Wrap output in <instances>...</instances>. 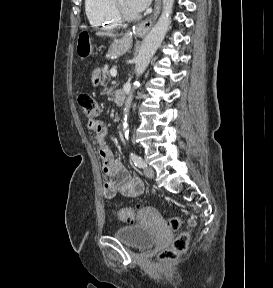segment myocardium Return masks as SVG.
I'll use <instances>...</instances> for the list:
<instances>
[{"instance_id": "1", "label": "myocardium", "mask_w": 273, "mask_h": 288, "mask_svg": "<svg viewBox=\"0 0 273 288\" xmlns=\"http://www.w3.org/2000/svg\"><path fill=\"white\" fill-rule=\"evenodd\" d=\"M112 2H113L114 11H115L117 17H118L121 21L132 22V21H136V20L139 19V15H138V14L128 13V12L120 5V1H119V0H112Z\"/></svg>"}]
</instances>
